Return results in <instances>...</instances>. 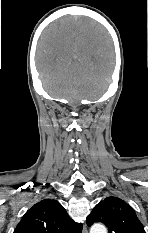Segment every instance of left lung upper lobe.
<instances>
[{"instance_id": "1", "label": "left lung upper lobe", "mask_w": 148, "mask_h": 233, "mask_svg": "<svg viewBox=\"0 0 148 233\" xmlns=\"http://www.w3.org/2000/svg\"><path fill=\"white\" fill-rule=\"evenodd\" d=\"M96 222L104 223L108 233H146L134 210L118 197H107L95 206L86 223Z\"/></svg>"}]
</instances>
